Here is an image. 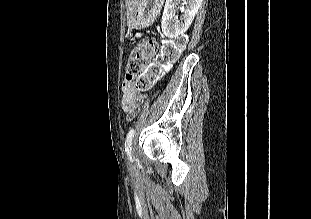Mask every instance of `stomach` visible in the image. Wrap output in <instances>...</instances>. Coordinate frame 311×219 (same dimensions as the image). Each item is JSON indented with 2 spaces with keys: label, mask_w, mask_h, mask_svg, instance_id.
Returning a JSON list of instances; mask_svg holds the SVG:
<instances>
[{
  "label": "stomach",
  "mask_w": 311,
  "mask_h": 219,
  "mask_svg": "<svg viewBox=\"0 0 311 219\" xmlns=\"http://www.w3.org/2000/svg\"><path fill=\"white\" fill-rule=\"evenodd\" d=\"M162 0H139L137 9L130 20L132 26L146 28L153 24L158 16Z\"/></svg>",
  "instance_id": "obj_1"
}]
</instances>
